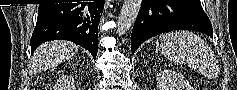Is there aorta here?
Listing matches in <instances>:
<instances>
[{
  "label": "aorta",
  "instance_id": "762f6f07",
  "mask_svg": "<svg viewBox=\"0 0 237 90\" xmlns=\"http://www.w3.org/2000/svg\"><path fill=\"white\" fill-rule=\"evenodd\" d=\"M142 0H124L117 20V34L122 38L128 34L139 14Z\"/></svg>",
  "mask_w": 237,
  "mask_h": 90
}]
</instances>
